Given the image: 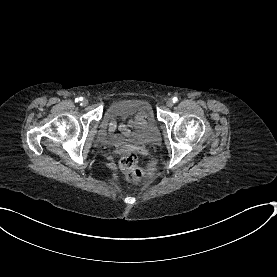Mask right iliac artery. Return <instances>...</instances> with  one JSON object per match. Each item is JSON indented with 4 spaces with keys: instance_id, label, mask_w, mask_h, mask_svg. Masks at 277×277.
Segmentation results:
<instances>
[{
    "instance_id": "obj_1",
    "label": "right iliac artery",
    "mask_w": 277,
    "mask_h": 277,
    "mask_svg": "<svg viewBox=\"0 0 277 277\" xmlns=\"http://www.w3.org/2000/svg\"><path fill=\"white\" fill-rule=\"evenodd\" d=\"M82 100H83V98H82V97H79V98H77L75 101L78 102V101H82Z\"/></svg>"
}]
</instances>
